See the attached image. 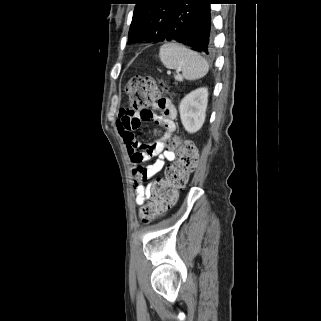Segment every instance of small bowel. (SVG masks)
<instances>
[{
  "label": "small bowel",
  "mask_w": 321,
  "mask_h": 321,
  "mask_svg": "<svg viewBox=\"0 0 321 321\" xmlns=\"http://www.w3.org/2000/svg\"><path fill=\"white\" fill-rule=\"evenodd\" d=\"M177 111L168 98H160L152 104V109L139 111L121 110L116 126L133 165L132 174L135 183V202L142 205L152 194L150 180L164 167L166 161H173L175 152L166 147L171 134L175 131ZM143 121H153L165 129V133L157 140L143 144L134 135ZM155 157L154 163L145 166L144 163Z\"/></svg>",
  "instance_id": "small-bowel-1"
}]
</instances>
